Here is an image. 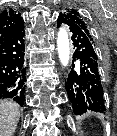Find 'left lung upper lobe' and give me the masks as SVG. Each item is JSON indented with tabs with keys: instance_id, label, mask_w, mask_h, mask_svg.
Here are the masks:
<instances>
[{
	"instance_id": "1",
	"label": "left lung upper lobe",
	"mask_w": 117,
	"mask_h": 136,
	"mask_svg": "<svg viewBox=\"0 0 117 136\" xmlns=\"http://www.w3.org/2000/svg\"><path fill=\"white\" fill-rule=\"evenodd\" d=\"M62 14L65 15V17L67 18V22L70 26L76 27V28L84 31L89 36V38H91V40L94 42V36H93L92 31L89 27V24L83 18V16L79 14V12H77L74 9H70Z\"/></svg>"
}]
</instances>
